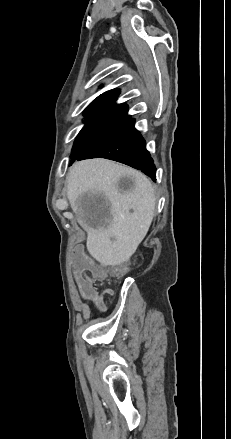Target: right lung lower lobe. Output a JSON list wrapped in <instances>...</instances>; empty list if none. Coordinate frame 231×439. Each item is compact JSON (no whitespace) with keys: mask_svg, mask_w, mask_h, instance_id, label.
Here are the masks:
<instances>
[{"mask_svg":"<svg viewBox=\"0 0 231 439\" xmlns=\"http://www.w3.org/2000/svg\"><path fill=\"white\" fill-rule=\"evenodd\" d=\"M135 119L129 118L112 133L93 146L77 160L89 158H107L141 170L156 180V168L146 143L134 127Z\"/></svg>","mask_w":231,"mask_h":439,"instance_id":"obj_1","label":"right lung lower lobe"}]
</instances>
